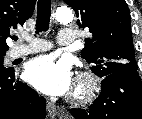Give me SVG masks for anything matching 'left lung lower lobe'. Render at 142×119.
Here are the masks:
<instances>
[{
  "label": "left lung lower lobe",
  "instance_id": "0a47b994",
  "mask_svg": "<svg viewBox=\"0 0 142 119\" xmlns=\"http://www.w3.org/2000/svg\"><path fill=\"white\" fill-rule=\"evenodd\" d=\"M138 69L102 78L101 93L88 111L71 109L75 119H142V83Z\"/></svg>",
  "mask_w": 142,
  "mask_h": 119
}]
</instances>
